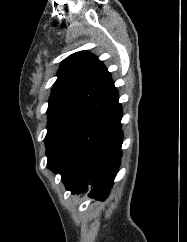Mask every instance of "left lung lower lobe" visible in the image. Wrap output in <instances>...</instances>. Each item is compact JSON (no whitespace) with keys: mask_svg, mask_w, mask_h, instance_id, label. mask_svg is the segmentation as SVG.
Here are the masks:
<instances>
[{"mask_svg":"<svg viewBox=\"0 0 187 242\" xmlns=\"http://www.w3.org/2000/svg\"><path fill=\"white\" fill-rule=\"evenodd\" d=\"M121 118L122 106L118 102L78 139L54 171L61 175L67 190L80 193L91 186V197H107L122 157Z\"/></svg>","mask_w":187,"mask_h":242,"instance_id":"0a47b994","label":"left lung lower lobe"}]
</instances>
